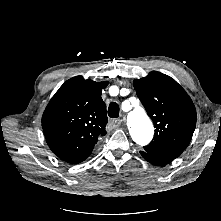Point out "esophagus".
<instances>
[{"label":"esophagus","mask_w":221,"mask_h":221,"mask_svg":"<svg viewBox=\"0 0 221 221\" xmlns=\"http://www.w3.org/2000/svg\"><path fill=\"white\" fill-rule=\"evenodd\" d=\"M121 123H122V119H112V120H110V125L112 127H118V126L121 125Z\"/></svg>","instance_id":"esophagus-1"}]
</instances>
